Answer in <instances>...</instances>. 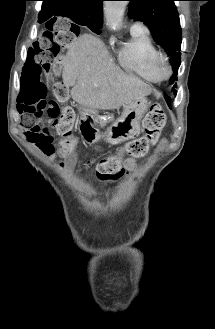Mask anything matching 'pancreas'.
Wrapping results in <instances>:
<instances>
[{"instance_id":"pancreas-1","label":"pancreas","mask_w":215,"mask_h":329,"mask_svg":"<svg viewBox=\"0 0 215 329\" xmlns=\"http://www.w3.org/2000/svg\"><path fill=\"white\" fill-rule=\"evenodd\" d=\"M110 121H112V120L102 119V118H99V119L96 120V122H97L101 127L106 126V124L109 123Z\"/></svg>"}]
</instances>
